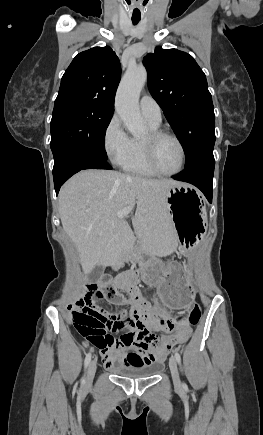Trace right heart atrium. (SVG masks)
Wrapping results in <instances>:
<instances>
[{
  "label": "right heart atrium",
  "mask_w": 263,
  "mask_h": 435,
  "mask_svg": "<svg viewBox=\"0 0 263 435\" xmlns=\"http://www.w3.org/2000/svg\"><path fill=\"white\" fill-rule=\"evenodd\" d=\"M131 145V138L118 117L114 114L107 123L103 133V146L108 158L116 165L126 160Z\"/></svg>",
  "instance_id": "right-heart-atrium-1"
}]
</instances>
